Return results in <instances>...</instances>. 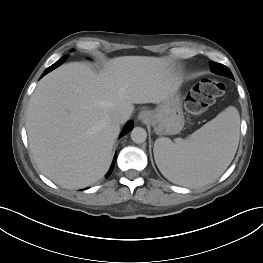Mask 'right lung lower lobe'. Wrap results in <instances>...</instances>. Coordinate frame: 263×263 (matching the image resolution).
<instances>
[{
	"instance_id": "1",
	"label": "right lung lower lobe",
	"mask_w": 263,
	"mask_h": 263,
	"mask_svg": "<svg viewBox=\"0 0 263 263\" xmlns=\"http://www.w3.org/2000/svg\"><path fill=\"white\" fill-rule=\"evenodd\" d=\"M67 59V56L62 57L60 60H58L55 64H53L52 66H50L49 68H47L44 73L42 74L41 77H43L44 75H46L47 73H49L50 71H52L53 69H55L56 67L60 66L65 60ZM133 128V123L132 122H128L125 126V128L123 129L121 136L125 135L126 133H128L131 129ZM115 160H116V156L114 158V161L111 165V168L109 170V172L106 174V178H108V176L112 173L113 169H114V165H115Z\"/></svg>"
}]
</instances>
